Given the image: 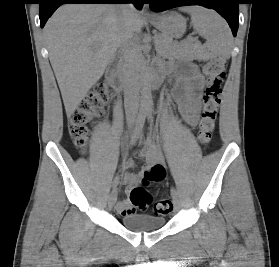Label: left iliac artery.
Listing matches in <instances>:
<instances>
[{"instance_id": "obj_1", "label": "left iliac artery", "mask_w": 279, "mask_h": 267, "mask_svg": "<svg viewBox=\"0 0 279 267\" xmlns=\"http://www.w3.org/2000/svg\"><path fill=\"white\" fill-rule=\"evenodd\" d=\"M148 121H149L150 127H151L152 126V117L150 114H148ZM171 195H172V197L177 196V191L174 187L171 188Z\"/></svg>"}]
</instances>
